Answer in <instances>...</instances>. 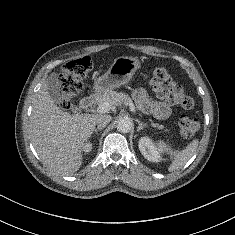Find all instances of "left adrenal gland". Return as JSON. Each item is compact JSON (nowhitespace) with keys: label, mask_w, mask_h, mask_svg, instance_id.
Here are the masks:
<instances>
[{"label":"left adrenal gland","mask_w":235,"mask_h":235,"mask_svg":"<svg viewBox=\"0 0 235 235\" xmlns=\"http://www.w3.org/2000/svg\"><path fill=\"white\" fill-rule=\"evenodd\" d=\"M138 123V127L137 130L140 131L141 129H143L146 125L144 123H142L140 120L136 119L135 120Z\"/></svg>","instance_id":"left-adrenal-gland-1"}]
</instances>
